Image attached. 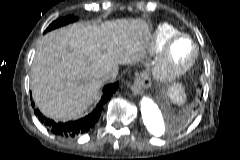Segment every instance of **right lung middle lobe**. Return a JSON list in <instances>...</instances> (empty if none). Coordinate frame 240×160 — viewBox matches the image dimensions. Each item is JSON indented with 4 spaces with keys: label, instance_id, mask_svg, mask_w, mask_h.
Instances as JSON below:
<instances>
[{
    "label": "right lung middle lobe",
    "instance_id": "obj_1",
    "mask_svg": "<svg viewBox=\"0 0 240 160\" xmlns=\"http://www.w3.org/2000/svg\"><path fill=\"white\" fill-rule=\"evenodd\" d=\"M75 20H76V19L74 18V16H67V17H65V18L57 19L56 21L52 22V23L48 26V28L45 30V33H46L47 31H50V30L55 29V28H58V27H60V26H62V25H66V24H68V23H70V22H73V21H75Z\"/></svg>",
    "mask_w": 240,
    "mask_h": 160
}]
</instances>
